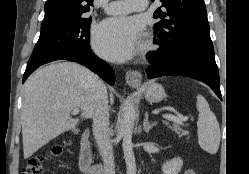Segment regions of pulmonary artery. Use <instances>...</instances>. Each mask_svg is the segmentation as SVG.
<instances>
[{
    "label": "pulmonary artery",
    "mask_w": 249,
    "mask_h": 174,
    "mask_svg": "<svg viewBox=\"0 0 249 174\" xmlns=\"http://www.w3.org/2000/svg\"><path fill=\"white\" fill-rule=\"evenodd\" d=\"M147 0H120L110 2L104 10L109 14L123 15L132 11H142L147 7Z\"/></svg>",
    "instance_id": "pulmonary-artery-1"
}]
</instances>
